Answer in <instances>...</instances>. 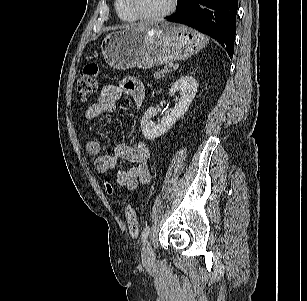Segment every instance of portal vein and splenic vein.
Wrapping results in <instances>:
<instances>
[{"label":"portal vein and splenic vein","mask_w":307,"mask_h":301,"mask_svg":"<svg viewBox=\"0 0 307 301\" xmlns=\"http://www.w3.org/2000/svg\"><path fill=\"white\" fill-rule=\"evenodd\" d=\"M174 67V65L173 64H169V68H173Z\"/></svg>","instance_id":"portal-vein-and-splenic-vein-1"}]
</instances>
